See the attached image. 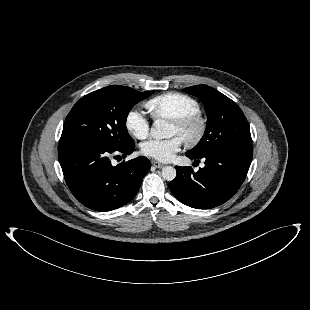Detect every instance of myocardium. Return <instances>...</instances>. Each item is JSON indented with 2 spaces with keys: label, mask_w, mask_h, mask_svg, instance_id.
<instances>
[{
  "label": "myocardium",
  "mask_w": 310,
  "mask_h": 310,
  "mask_svg": "<svg viewBox=\"0 0 310 310\" xmlns=\"http://www.w3.org/2000/svg\"><path fill=\"white\" fill-rule=\"evenodd\" d=\"M170 121L184 133L182 141L188 147L197 146L205 137L207 120L199 111L177 117ZM192 128H194V133L188 134Z\"/></svg>",
  "instance_id": "obj_1"
}]
</instances>
